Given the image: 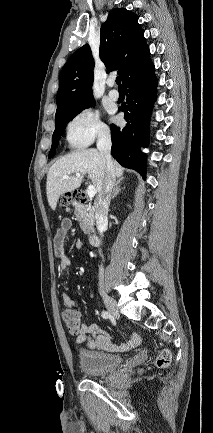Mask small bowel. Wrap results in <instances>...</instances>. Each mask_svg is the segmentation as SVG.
Segmentation results:
<instances>
[{"label": "small bowel", "mask_w": 213, "mask_h": 433, "mask_svg": "<svg viewBox=\"0 0 213 433\" xmlns=\"http://www.w3.org/2000/svg\"><path fill=\"white\" fill-rule=\"evenodd\" d=\"M70 228L71 221L69 219H63L53 238L54 255L58 261V267L62 272H67L71 266V258L65 251V241ZM82 246L83 241L78 240L76 247L81 248ZM63 301L66 306L73 305V301L70 299L67 292L63 293ZM76 342L79 345L86 344L91 350L125 352L138 346L141 342V338L137 333H132L124 343L114 345L111 342L110 334L107 331L100 330L97 324L92 323L81 325L78 330Z\"/></svg>", "instance_id": "small-bowel-1"}]
</instances>
